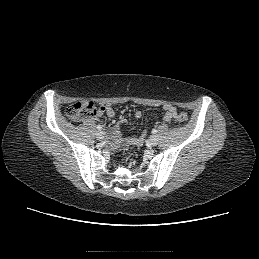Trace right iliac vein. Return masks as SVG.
Segmentation results:
<instances>
[{"instance_id": "obj_1", "label": "right iliac vein", "mask_w": 259, "mask_h": 259, "mask_svg": "<svg viewBox=\"0 0 259 259\" xmlns=\"http://www.w3.org/2000/svg\"><path fill=\"white\" fill-rule=\"evenodd\" d=\"M96 138L98 139V140H103L104 139V132H102V131H98L97 133H96Z\"/></svg>"}]
</instances>
